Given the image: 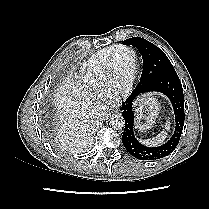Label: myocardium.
Instances as JSON below:
<instances>
[{
  "instance_id": "myocardium-1",
  "label": "myocardium",
  "mask_w": 209,
  "mask_h": 209,
  "mask_svg": "<svg viewBox=\"0 0 209 209\" xmlns=\"http://www.w3.org/2000/svg\"><path fill=\"white\" fill-rule=\"evenodd\" d=\"M122 51H130L133 54V64L129 77L124 82H117L115 78V60ZM137 73V58L135 50L129 46H119L111 55L105 79V90L113 97L126 96L132 89Z\"/></svg>"
}]
</instances>
